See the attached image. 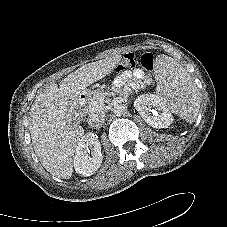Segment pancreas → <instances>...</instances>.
Instances as JSON below:
<instances>
[{
    "label": "pancreas",
    "instance_id": "cf45deb5",
    "mask_svg": "<svg viewBox=\"0 0 227 227\" xmlns=\"http://www.w3.org/2000/svg\"><path fill=\"white\" fill-rule=\"evenodd\" d=\"M104 96V92L102 89H96V90H93V91H89V97H88V102L87 104L85 105V112L87 113H94V112H97L99 110L102 109L103 107V103H99L97 101V97H103Z\"/></svg>",
    "mask_w": 227,
    "mask_h": 227
}]
</instances>
